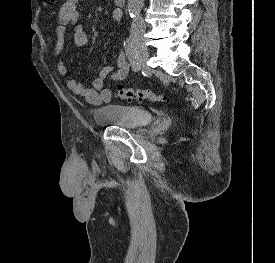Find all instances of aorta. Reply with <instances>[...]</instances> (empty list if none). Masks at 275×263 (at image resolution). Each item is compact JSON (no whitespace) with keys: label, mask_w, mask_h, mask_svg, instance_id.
Segmentation results:
<instances>
[{"label":"aorta","mask_w":275,"mask_h":263,"mask_svg":"<svg viewBox=\"0 0 275 263\" xmlns=\"http://www.w3.org/2000/svg\"><path fill=\"white\" fill-rule=\"evenodd\" d=\"M144 0H128V12L130 17L138 15L143 7Z\"/></svg>","instance_id":"1"}]
</instances>
